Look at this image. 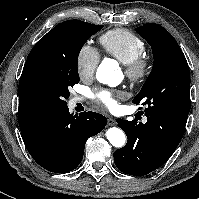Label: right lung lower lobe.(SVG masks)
Returning a JSON list of instances; mask_svg holds the SVG:
<instances>
[{
    "mask_svg": "<svg viewBox=\"0 0 199 199\" xmlns=\"http://www.w3.org/2000/svg\"><path fill=\"white\" fill-rule=\"evenodd\" d=\"M106 123V117L99 113L73 115L65 107L50 113L23 141L29 154L44 169L66 173L80 164L87 139L98 134Z\"/></svg>",
    "mask_w": 199,
    "mask_h": 199,
    "instance_id": "right-lung-lower-lobe-1",
    "label": "right lung lower lobe"
}]
</instances>
